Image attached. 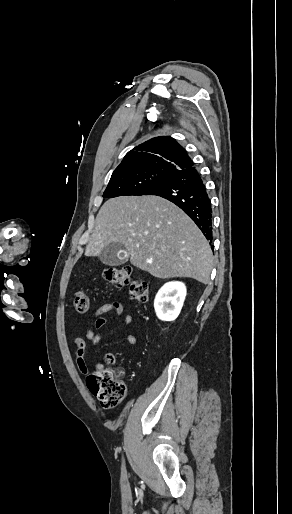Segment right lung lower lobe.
<instances>
[{
  "label": "right lung lower lobe",
  "mask_w": 292,
  "mask_h": 514,
  "mask_svg": "<svg viewBox=\"0 0 292 514\" xmlns=\"http://www.w3.org/2000/svg\"><path fill=\"white\" fill-rule=\"evenodd\" d=\"M143 195H156L173 202L195 222L206 239L212 241L211 200L194 166L173 173Z\"/></svg>",
  "instance_id": "98d812e1"
}]
</instances>
